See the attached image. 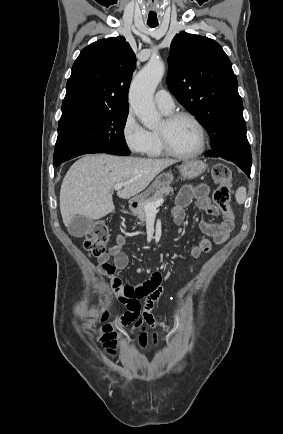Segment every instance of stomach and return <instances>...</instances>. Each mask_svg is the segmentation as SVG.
I'll return each instance as SVG.
<instances>
[{"mask_svg": "<svg viewBox=\"0 0 283 434\" xmlns=\"http://www.w3.org/2000/svg\"><path fill=\"white\" fill-rule=\"evenodd\" d=\"M206 167V164L199 160L186 161L180 166V173L184 179H194L201 175L205 171ZM172 181L173 175L171 173L167 172L160 174L150 188L142 194L137 195L133 201L139 205L142 204L147 200V197L152 191L161 187L169 186Z\"/></svg>", "mask_w": 283, "mask_h": 434, "instance_id": "obj_1", "label": "stomach"}]
</instances>
